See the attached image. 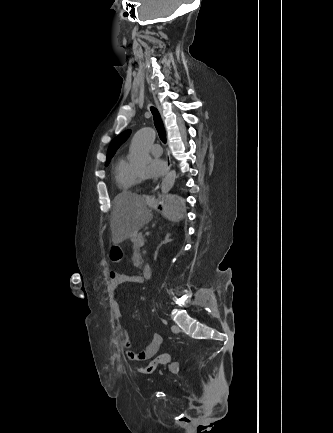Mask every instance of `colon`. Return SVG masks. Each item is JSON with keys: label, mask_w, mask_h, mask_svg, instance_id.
<instances>
[{"label": "colon", "mask_w": 333, "mask_h": 433, "mask_svg": "<svg viewBox=\"0 0 333 433\" xmlns=\"http://www.w3.org/2000/svg\"><path fill=\"white\" fill-rule=\"evenodd\" d=\"M109 255L111 257L112 265H121L123 263V245L122 244H111ZM169 365L173 367L175 363L173 362L171 356L167 353H162L156 356L147 366L142 367L139 371L143 374H152L159 365Z\"/></svg>", "instance_id": "obj_1"}]
</instances>
